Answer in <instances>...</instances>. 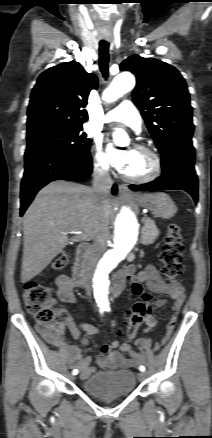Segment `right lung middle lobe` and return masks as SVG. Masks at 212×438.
<instances>
[{
	"mask_svg": "<svg viewBox=\"0 0 212 438\" xmlns=\"http://www.w3.org/2000/svg\"><path fill=\"white\" fill-rule=\"evenodd\" d=\"M82 127L44 125L27 130V149L62 152L89 151L91 140Z\"/></svg>",
	"mask_w": 212,
	"mask_h": 438,
	"instance_id": "dd1d6c3e",
	"label": "right lung middle lobe"
}]
</instances>
